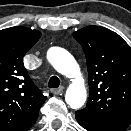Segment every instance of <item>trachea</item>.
Returning a JSON list of instances; mask_svg holds the SVG:
<instances>
[{
  "instance_id": "3493384b",
  "label": "trachea",
  "mask_w": 131,
  "mask_h": 131,
  "mask_svg": "<svg viewBox=\"0 0 131 131\" xmlns=\"http://www.w3.org/2000/svg\"><path fill=\"white\" fill-rule=\"evenodd\" d=\"M60 85V80L57 76H52L48 82L49 88H57Z\"/></svg>"
}]
</instances>
